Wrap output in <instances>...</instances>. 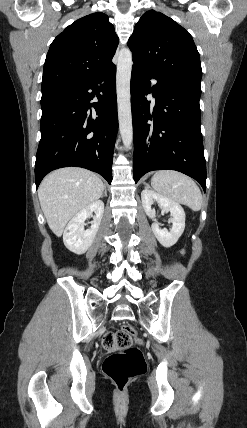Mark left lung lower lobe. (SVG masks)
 Returning <instances> with one entry per match:
<instances>
[{"mask_svg": "<svg viewBox=\"0 0 247 428\" xmlns=\"http://www.w3.org/2000/svg\"><path fill=\"white\" fill-rule=\"evenodd\" d=\"M157 84L151 87L150 79ZM155 96L150 107L146 96ZM201 93L164 81L134 63L131 107L134 134V180L152 170H176L197 180L206 191V164L200 129Z\"/></svg>", "mask_w": 247, "mask_h": 428, "instance_id": "1", "label": "left lung lower lobe"}]
</instances>
